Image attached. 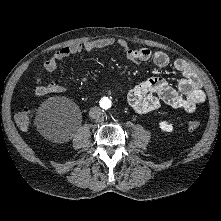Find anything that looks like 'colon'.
<instances>
[{"mask_svg":"<svg viewBox=\"0 0 221 221\" xmlns=\"http://www.w3.org/2000/svg\"><path fill=\"white\" fill-rule=\"evenodd\" d=\"M17 125L23 129L28 127L30 124V111L28 109H23L19 111L16 116ZM201 123L198 120H192L188 123V129L190 132H198L200 130Z\"/></svg>","mask_w":221,"mask_h":221,"instance_id":"colon-1","label":"colon"}]
</instances>
